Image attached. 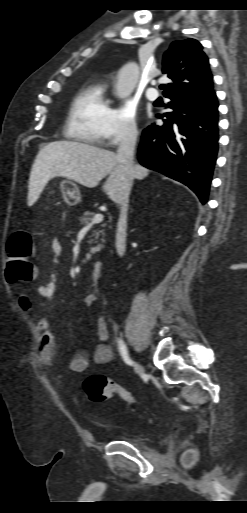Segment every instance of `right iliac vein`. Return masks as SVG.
Here are the masks:
<instances>
[{"label":"right iliac vein","instance_id":"obj_1","mask_svg":"<svg viewBox=\"0 0 247 513\" xmlns=\"http://www.w3.org/2000/svg\"><path fill=\"white\" fill-rule=\"evenodd\" d=\"M136 371H137V373H138V374L143 373V372H144V368H143V366H142L141 364H139V363H138V364L136 365Z\"/></svg>","mask_w":247,"mask_h":513}]
</instances>
